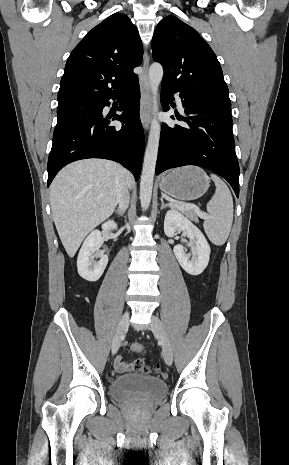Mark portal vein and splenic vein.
I'll list each match as a JSON object with an SVG mask.
<instances>
[{
    "label": "portal vein and splenic vein",
    "mask_w": 289,
    "mask_h": 465,
    "mask_svg": "<svg viewBox=\"0 0 289 465\" xmlns=\"http://www.w3.org/2000/svg\"><path fill=\"white\" fill-rule=\"evenodd\" d=\"M170 205H171V206H174V207H176V208H178V209H180V210H181V209H193V210H195L198 214L201 213L200 208L197 207V206L194 205V204H191V203H184V204H178V205H177V204L170 203Z\"/></svg>",
    "instance_id": "1"
}]
</instances>
